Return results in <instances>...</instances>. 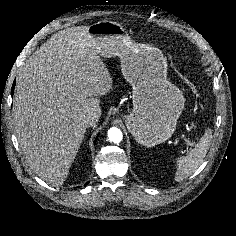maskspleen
<instances>
[{
	"label": "spleen",
	"mask_w": 236,
	"mask_h": 236,
	"mask_svg": "<svg viewBox=\"0 0 236 236\" xmlns=\"http://www.w3.org/2000/svg\"><path fill=\"white\" fill-rule=\"evenodd\" d=\"M212 141L211 130L208 129L201 137L200 141L194 149L186 156L180 157L177 160V172L175 181L181 182L193 174L198 167L203 163V160L210 148Z\"/></svg>",
	"instance_id": "3e777b00"
}]
</instances>
